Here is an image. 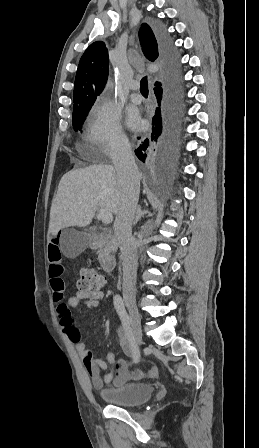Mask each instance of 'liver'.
<instances>
[{"mask_svg":"<svg viewBox=\"0 0 259 448\" xmlns=\"http://www.w3.org/2000/svg\"><path fill=\"white\" fill-rule=\"evenodd\" d=\"M121 190L113 166L94 164L64 174L50 210L49 232L57 236L61 228L91 224L98 208L118 214Z\"/></svg>","mask_w":259,"mask_h":448,"instance_id":"6515ba94","label":"liver"}]
</instances>
